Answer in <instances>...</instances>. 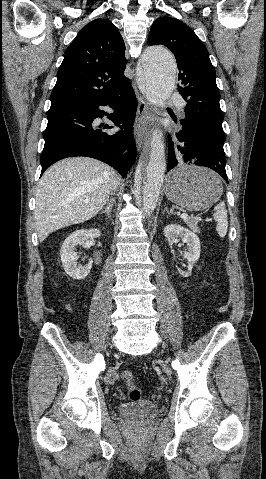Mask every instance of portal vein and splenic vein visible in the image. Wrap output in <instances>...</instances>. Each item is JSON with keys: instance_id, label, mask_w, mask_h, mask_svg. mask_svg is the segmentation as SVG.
Wrapping results in <instances>:
<instances>
[{"instance_id": "1", "label": "portal vein and splenic vein", "mask_w": 266, "mask_h": 479, "mask_svg": "<svg viewBox=\"0 0 266 479\" xmlns=\"http://www.w3.org/2000/svg\"><path fill=\"white\" fill-rule=\"evenodd\" d=\"M180 218L181 219H186V218H188V214L183 213V214L180 215Z\"/></svg>"}]
</instances>
